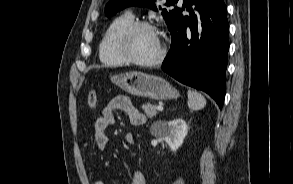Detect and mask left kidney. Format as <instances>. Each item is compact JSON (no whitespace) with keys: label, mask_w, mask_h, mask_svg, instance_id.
Listing matches in <instances>:
<instances>
[{"label":"left kidney","mask_w":293,"mask_h":184,"mask_svg":"<svg viewBox=\"0 0 293 184\" xmlns=\"http://www.w3.org/2000/svg\"><path fill=\"white\" fill-rule=\"evenodd\" d=\"M189 129L190 127L183 119H174L164 123L161 136L171 151L176 152L183 144Z\"/></svg>","instance_id":"5707ae66"}]
</instances>
